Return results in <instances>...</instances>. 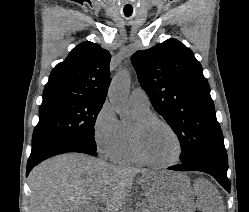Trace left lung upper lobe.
Instances as JSON below:
<instances>
[{
    "instance_id": "1",
    "label": "left lung upper lobe",
    "mask_w": 249,
    "mask_h": 212,
    "mask_svg": "<svg viewBox=\"0 0 249 212\" xmlns=\"http://www.w3.org/2000/svg\"><path fill=\"white\" fill-rule=\"evenodd\" d=\"M131 60L154 109L178 136L182 162L206 147L224 143L210 86L189 48L168 39L137 51Z\"/></svg>"
}]
</instances>
